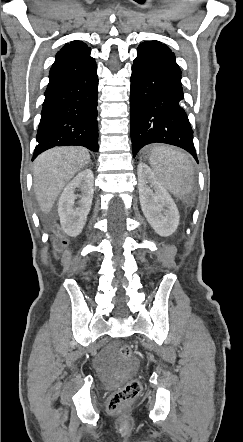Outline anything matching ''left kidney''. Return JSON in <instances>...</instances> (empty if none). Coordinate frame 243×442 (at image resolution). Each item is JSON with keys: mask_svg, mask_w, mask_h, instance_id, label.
I'll return each mask as SVG.
<instances>
[{"mask_svg": "<svg viewBox=\"0 0 243 442\" xmlns=\"http://www.w3.org/2000/svg\"><path fill=\"white\" fill-rule=\"evenodd\" d=\"M138 188L141 209L149 224L162 237L172 235L179 224L178 208L153 171L143 162L138 165ZM151 183L154 191L147 185Z\"/></svg>", "mask_w": 243, "mask_h": 442, "instance_id": "1", "label": "left kidney"}]
</instances>
